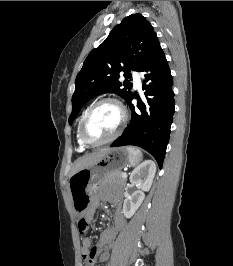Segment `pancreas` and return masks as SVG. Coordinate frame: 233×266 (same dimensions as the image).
Returning <instances> with one entry per match:
<instances>
[{"instance_id": "1", "label": "pancreas", "mask_w": 233, "mask_h": 266, "mask_svg": "<svg viewBox=\"0 0 233 266\" xmlns=\"http://www.w3.org/2000/svg\"><path fill=\"white\" fill-rule=\"evenodd\" d=\"M126 183V178L122 177V172L117 171V172H111L107 173L103 177L102 185L105 184H116L123 186Z\"/></svg>"}]
</instances>
